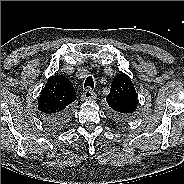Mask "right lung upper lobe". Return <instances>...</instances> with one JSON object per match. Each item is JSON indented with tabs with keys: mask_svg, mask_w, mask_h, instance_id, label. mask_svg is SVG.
<instances>
[{
	"mask_svg": "<svg viewBox=\"0 0 184 184\" xmlns=\"http://www.w3.org/2000/svg\"><path fill=\"white\" fill-rule=\"evenodd\" d=\"M76 100L72 82L63 75L51 76L42 88L38 99V109L44 116H52L68 110Z\"/></svg>",
	"mask_w": 184,
	"mask_h": 184,
	"instance_id": "cb5924a9",
	"label": "right lung upper lobe"
}]
</instances>
